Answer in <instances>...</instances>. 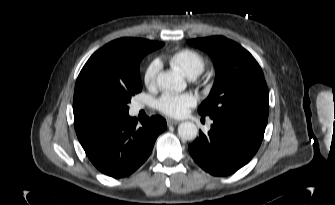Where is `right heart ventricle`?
I'll return each instance as SVG.
<instances>
[{
    "mask_svg": "<svg viewBox=\"0 0 335 205\" xmlns=\"http://www.w3.org/2000/svg\"><path fill=\"white\" fill-rule=\"evenodd\" d=\"M170 62L189 77H197L206 66L204 56L193 49L177 51L170 57Z\"/></svg>",
    "mask_w": 335,
    "mask_h": 205,
    "instance_id": "right-heart-ventricle-1",
    "label": "right heart ventricle"
}]
</instances>
